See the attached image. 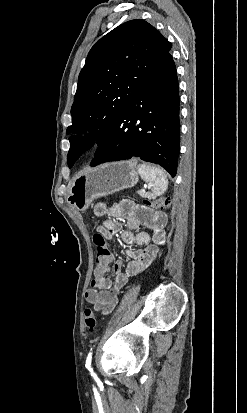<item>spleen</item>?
Returning <instances> with one entry per match:
<instances>
[{"label": "spleen", "instance_id": "3e777b00", "mask_svg": "<svg viewBox=\"0 0 247 413\" xmlns=\"http://www.w3.org/2000/svg\"><path fill=\"white\" fill-rule=\"evenodd\" d=\"M138 170L140 172L141 178L143 180H147V170L144 168L143 164H138ZM150 174H151V182L153 188V194L154 196H160V194H163L164 190H166L168 186V180L166 178V174L163 170V168H160V166H153V168H150Z\"/></svg>", "mask_w": 247, "mask_h": 413}]
</instances>
